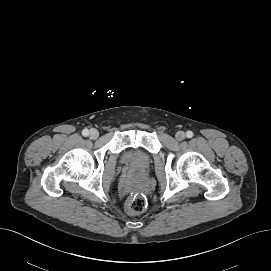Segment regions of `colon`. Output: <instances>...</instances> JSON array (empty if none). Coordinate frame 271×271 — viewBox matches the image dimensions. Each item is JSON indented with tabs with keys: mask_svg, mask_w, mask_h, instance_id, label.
<instances>
[{
	"mask_svg": "<svg viewBox=\"0 0 271 271\" xmlns=\"http://www.w3.org/2000/svg\"><path fill=\"white\" fill-rule=\"evenodd\" d=\"M147 205L148 201L144 194H134L127 200L126 209L131 213H142Z\"/></svg>",
	"mask_w": 271,
	"mask_h": 271,
	"instance_id": "1",
	"label": "colon"
}]
</instances>
